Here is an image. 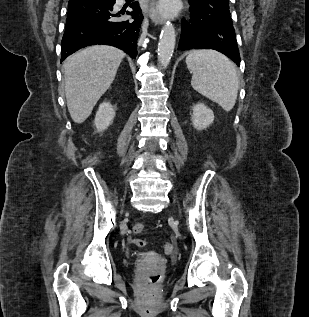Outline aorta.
<instances>
[{
	"label": "aorta",
	"mask_w": 309,
	"mask_h": 317,
	"mask_svg": "<svg viewBox=\"0 0 309 317\" xmlns=\"http://www.w3.org/2000/svg\"><path fill=\"white\" fill-rule=\"evenodd\" d=\"M176 42L175 28L171 23L163 26L158 44V61L163 68L169 65Z\"/></svg>",
	"instance_id": "1"
}]
</instances>
